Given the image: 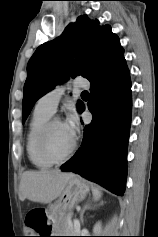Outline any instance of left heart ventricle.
<instances>
[{
	"mask_svg": "<svg viewBox=\"0 0 158 237\" xmlns=\"http://www.w3.org/2000/svg\"><path fill=\"white\" fill-rule=\"evenodd\" d=\"M73 138L67 133L63 123L57 122L53 125L49 135V148L51 152L61 157L70 149Z\"/></svg>",
	"mask_w": 158,
	"mask_h": 237,
	"instance_id": "obj_1",
	"label": "left heart ventricle"
}]
</instances>
